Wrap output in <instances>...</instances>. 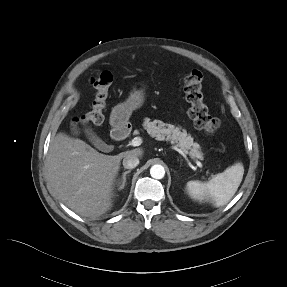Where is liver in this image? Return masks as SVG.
Here are the masks:
<instances>
[{
    "mask_svg": "<svg viewBox=\"0 0 287 287\" xmlns=\"http://www.w3.org/2000/svg\"><path fill=\"white\" fill-rule=\"evenodd\" d=\"M128 153L142 156L143 150L105 155L83 140L60 132L47 156L49 186L77 214L95 219L112 207L114 182L121 159Z\"/></svg>",
    "mask_w": 287,
    "mask_h": 287,
    "instance_id": "1",
    "label": "liver"
}]
</instances>
